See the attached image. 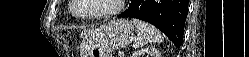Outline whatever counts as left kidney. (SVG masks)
Wrapping results in <instances>:
<instances>
[{"mask_svg": "<svg viewBox=\"0 0 249 57\" xmlns=\"http://www.w3.org/2000/svg\"><path fill=\"white\" fill-rule=\"evenodd\" d=\"M132 57H161L160 52L155 47H147L138 51H135Z\"/></svg>", "mask_w": 249, "mask_h": 57, "instance_id": "1", "label": "left kidney"}]
</instances>
